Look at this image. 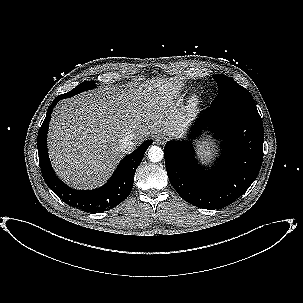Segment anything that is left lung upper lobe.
<instances>
[{"label":"left lung upper lobe","instance_id":"obj_1","mask_svg":"<svg viewBox=\"0 0 303 303\" xmlns=\"http://www.w3.org/2000/svg\"><path fill=\"white\" fill-rule=\"evenodd\" d=\"M213 78L218 85V95L211 103V106L241 103L255 104L250 92L236 83L232 78L222 74L213 75Z\"/></svg>","mask_w":303,"mask_h":303}]
</instances>
